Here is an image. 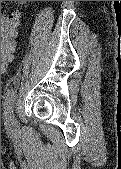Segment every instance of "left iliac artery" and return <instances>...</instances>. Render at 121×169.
I'll return each mask as SVG.
<instances>
[{
  "mask_svg": "<svg viewBox=\"0 0 121 169\" xmlns=\"http://www.w3.org/2000/svg\"><path fill=\"white\" fill-rule=\"evenodd\" d=\"M15 93H16L15 89L11 87L7 90L6 96H5L4 115H5V118L9 121L14 120L13 109H14Z\"/></svg>",
  "mask_w": 121,
  "mask_h": 169,
  "instance_id": "obj_1",
  "label": "left iliac artery"
}]
</instances>
